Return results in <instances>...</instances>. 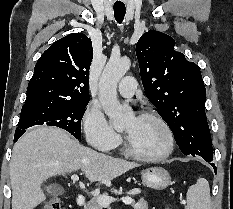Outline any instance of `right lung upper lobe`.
Returning <instances> with one entry per match:
<instances>
[{
  "label": "right lung upper lobe",
  "mask_w": 233,
  "mask_h": 209,
  "mask_svg": "<svg viewBox=\"0 0 233 209\" xmlns=\"http://www.w3.org/2000/svg\"><path fill=\"white\" fill-rule=\"evenodd\" d=\"M92 57V42L83 33H72L54 42L34 68L25 104L90 100Z\"/></svg>",
  "instance_id": "1"
}]
</instances>
